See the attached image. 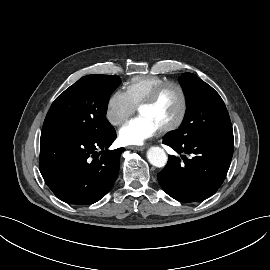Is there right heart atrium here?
Returning a JSON list of instances; mask_svg holds the SVG:
<instances>
[{"instance_id": "d8ad5b80", "label": "right heart atrium", "mask_w": 270, "mask_h": 270, "mask_svg": "<svg viewBox=\"0 0 270 270\" xmlns=\"http://www.w3.org/2000/svg\"><path fill=\"white\" fill-rule=\"evenodd\" d=\"M136 111L127 93L121 89L115 90L108 98L105 109L106 120L113 126L121 125Z\"/></svg>"}]
</instances>
